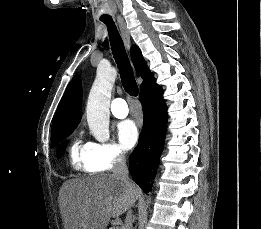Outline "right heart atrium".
<instances>
[{"label":"right heart atrium","mask_w":261,"mask_h":229,"mask_svg":"<svg viewBox=\"0 0 261 229\" xmlns=\"http://www.w3.org/2000/svg\"><path fill=\"white\" fill-rule=\"evenodd\" d=\"M90 169L93 172H107L121 167L126 162V153L114 141L91 143Z\"/></svg>","instance_id":"d8ad5b80"}]
</instances>
